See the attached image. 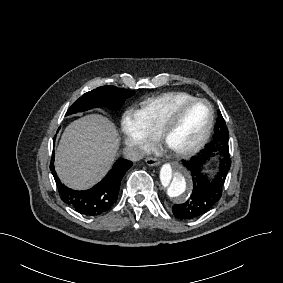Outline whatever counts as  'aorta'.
Returning a JSON list of instances; mask_svg holds the SVG:
<instances>
[{
  "mask_svg": "<svg viewBox=\"0 0 283 283\" xmlns=\"http://www.w3.org/2000/svg\"><path fill=\"white\" fill-rule=\"evenodd\" d=\"M189 171L176 162L162 165L159 173V191L162 197L175 203L187 202L192 192Z\"/></svg>",
  "mask_w": 283,
  "mask_h": 283,
  "instance_id": "1",
  "label": "aorta"
}]
</instances>
